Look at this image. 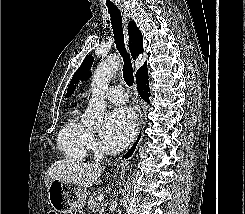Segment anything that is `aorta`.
<instances>
[{
    "mask_svg": "<svg viewBox=\"0 0 245 214\" xmlns=\"http://www.w3.org/2000/svg\"><path fill=\"white\" fill-rule=\"evenodd\" d=\"M120 67V58L112 56L96 67L91 82L92 98L83 115L82 122L91 128H99L103 122L106 102L104 93L109 81Z\"/></svg>",
    "mask_w": 245,
    "mask_h": 214,
    "instance_id": "1",
    "label": "aorta"
}]
</instances>
